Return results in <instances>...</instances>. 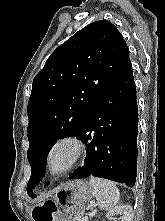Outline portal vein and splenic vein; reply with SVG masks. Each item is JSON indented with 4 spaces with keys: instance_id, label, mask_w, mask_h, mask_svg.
<instances>
[{
    "instance_id": "obj_1",
    "label": "portal vein and splenic vein",
    "mask_w": 165,
    "mask_h": 221,
    "mask_svg": "<svg viewBox=\"0 0 165 221\" xmlns=\"http://www.w3.org/2000/svg\"><path fill=\"white\" fill-rule=\"evenodd\" d=\"M84 221H87V218H84Z\"/></svg>"
}]
</instances>
